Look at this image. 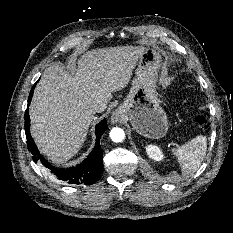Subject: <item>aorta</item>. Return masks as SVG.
Listing matches in <instances>:
<instances>
[{
	"label": "aorta",
	"mask_w": 233,
	"mask_h": 233,
	"mask_svg": "<svg viewBox=\"0 0 233 233\" xmlns=\"http://www.w3.org/2000/svg\"><path fill=\"white\" fill-rule=\"evenodd\" d=\"M110 138L112 141L119 143L122 142L125 138V133L123 129L115 127L110 131Z\"/></svg>",
	"instance_id": "aorta-1"
}]
</instances>
